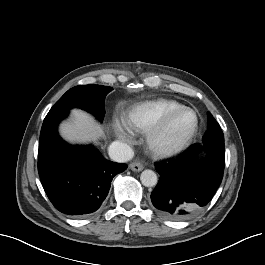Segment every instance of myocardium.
Returning a JSON list of instances; mask_svg holds the SVG:
<instances>
[{"mask_svg":"<svg viewBox=\"0 0 265 265\" xmlns=\"http://www.w3.org/2000/svg\"><path fill=\"white\" fill-rule=\"evenodd\" d=\"M189 111L195 117V123L190 133L182 139L170 140L166 138V133L171 120L182 112ZM199 129V117L197 112L186 106L166 113L162 118L147 132L146 146L156 157L164 158L175 155L185 150L194 140Z\"/></svg>","mask_w":265,"mask_h":265,"instance_id":"f54148a6","label":"myocardium"}]
</instances>
